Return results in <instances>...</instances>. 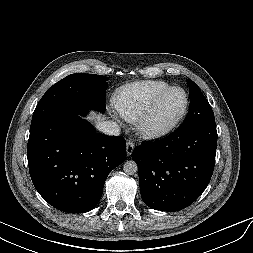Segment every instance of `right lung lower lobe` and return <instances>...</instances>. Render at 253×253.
Returning a JSON list of instances; mask_svg holds the SVG:
<instances>
[{"label":"right lung lower lobe","mask_w":253,"mask_h":253,"mask_svg":"<svg viewBox=\"0 0 253 253\" xmlns=\"http://www.w3.org/2000/svg\"><path fill=\"white\" fill-rule=\"evenodd\" d=\"M67 112L30 127L29 172L39 194L54 208L84 213L99 202L108 174L126 158L121 136L97 133Z\"/></svg>","instance_id":"98d812e1"}]
</instances>
